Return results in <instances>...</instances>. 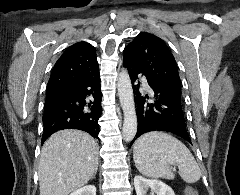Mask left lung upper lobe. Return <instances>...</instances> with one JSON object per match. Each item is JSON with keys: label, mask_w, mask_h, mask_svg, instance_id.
Returning a JSON list of instances; mask_svg holds the SVG:
<instances>
[{"label": "left lung upper lobe", "mask_w": 240, "mask_h": 195, "mask_svg": "<svg viewBox=\"0 0 240 195\" xmlns=\"http://www.w3.org/2000/svg\"><path fill=\"white\" fill-rule=\"evenodd\" d=\"M166 89L181 95V81L175 58L164 41L141 32L124 48V58Z\"/></svg>", "instance_id": "left-lung-upper-lobe-1"}]
</instances>
